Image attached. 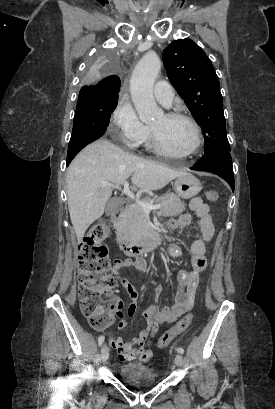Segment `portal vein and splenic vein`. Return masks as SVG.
Instances as JSON below:
<instances>
[{"label":"portal vein and splenic vein","mask_w":275,"mask_h":409,"mask_svg":"<svg viewBox=\"0 0 275 409\" xmlns=\"http://www.w3.org/2000/svg\"><path fill=\"white\" fill-rule=\"evenodd\" d=\"M103 184H108V186H115V184H110V182H103ZM115 188H120V186H115ZM123 192L130 196V198H134L137 205H141L142 209H144L145 213H149L152 209H161V205H152V202H143V200H137L135 194H133L132 190L129 188V182L126 180L124 182Z\"/></svg>","instance_id":"obj_1"}]
</instances>
